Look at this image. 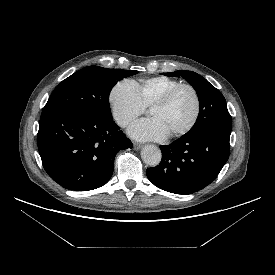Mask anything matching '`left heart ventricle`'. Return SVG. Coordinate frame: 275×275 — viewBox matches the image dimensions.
Here are the masks:
<instances>
[{
  "mask_svg": "<svg viewBox=\"0 0 275 275\" xmlns=\"http://www.w3.org/2000/svg\"><path fill=\"white\" fill-rule=\"evenodd\" d=\"M194 112V95L189 89L183 88L166 107L151 109L150 115L157 119L170 135L184 128L191 121Z\"/></svg>",
  "mask_w": 275,
  "mask_h": 275,
  "instance_id": "1",
  "label": "left heart ventricle"
}]
</instances>
